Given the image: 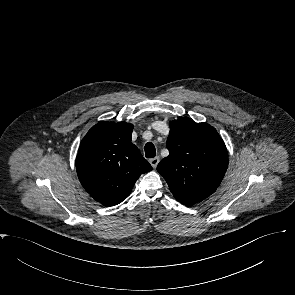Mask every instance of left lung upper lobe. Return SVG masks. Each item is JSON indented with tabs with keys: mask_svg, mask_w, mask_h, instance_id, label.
Here are the masks:
<instances>
[{
	"mask_svg": "<svg viewBox=\"0 0 295 295\" xmlns=\"http://www.w3.org/2000/svg\"><path fill=\"white\" fill-rule=\"evenodd\" d=\"M166 146L169 156L161 160L157 171L180 203L194 205L218 188L227 170L228 154L212 126L186 118L171 121Z\"/></svg>",
	"mask_w": 295,
	"mask_h": 295,
	"instance_id": "1",
	"label": "left lung upper lobe"
}]
</instances>
